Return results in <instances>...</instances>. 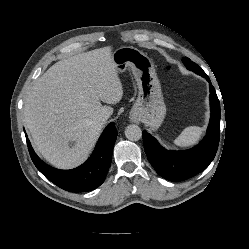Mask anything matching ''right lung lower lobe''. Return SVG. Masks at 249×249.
<instances>
[{
    "label": "right lung lower lobe",
    "instance_id": "98d812e1",
    "mask_svg": "<svg viewBox=\"0 0 249 249\" xmlns=\"http://www.w3.org/2000/svg\"><path fill=\"white\" fill-rule=\"evenodd\" d=\"M116 138L115 124L110 123L99 138L90 158L81 166L71 170H59L45 164L36 155L28 139L27 145L35 166L51 182L70 192H86L104 182L111 164Z\"/></svg>",
    "mask_w": 249,
    "mask_h": 249
}]
</instances>
